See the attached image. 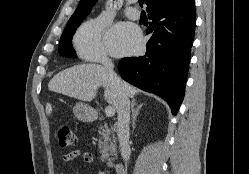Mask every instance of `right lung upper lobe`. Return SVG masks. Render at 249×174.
Instances as JSON below:
<instances>
[{"mask_svg":"<svg viewBox=\"0 0 249 174\" xmlns=\"http://www.w3.org/2000/svg\"><path fill=\"white\" fill-rule=\"evenodd\" d=\"M95 1L96 0H81L78 5V8L73 13L68 23L83 21V19H85V17L91 11V8L93 4L95 3ZM178 1L180 0H146V4H147L146 10L149 13L161 6L170 5Z\"/></svg>","mask_w":249,"mask_h":174,"instance_id":"1","label":"right lung upper lobe"}]
</instances>
